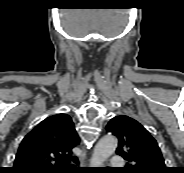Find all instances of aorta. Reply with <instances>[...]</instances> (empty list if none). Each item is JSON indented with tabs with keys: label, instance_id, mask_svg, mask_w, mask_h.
Masks as SVG:
<instances>
[{
	"label": "aorta",
	"instance_id": "1",
	"mask_svg": "<svg viewBox=\"0 0 184 173\" xmlns=\"http://www.w3.org/2000/svg\"><path fill=\"white\" fill-rule=\"evenodd\" d=\"M117 148V139L112 135L102 137L95 146L90 165L92 167H101Z\"/></svg>",
	"mask_w": 184,
	"mask_h": 173
}]
</instances>
